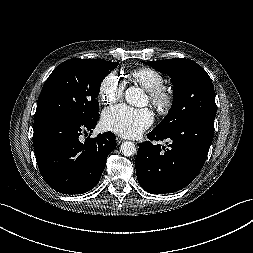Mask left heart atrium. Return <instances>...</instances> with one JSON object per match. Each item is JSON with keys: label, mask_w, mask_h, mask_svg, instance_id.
Listing matches in <instances>:
<instances>
[{"label": "left heart atrium", "mask_w": 253, "mask_h": 253, "mask_svg": "<svg viewBox=\"0 0 253 253\" xmlns=\"http://www.w3.org/2000/svg\"><path fill=\"white\" fill-rule=\"evenodd\" d=\"M153 120V114L148 108H133L122 104L106 109L101 122L106 130L134 138L150 127Z\"/></svg>", "instance_id": "obj_1"}]
</instances>
